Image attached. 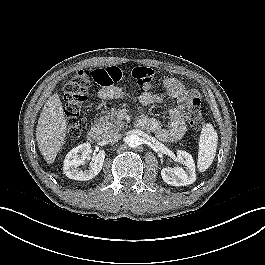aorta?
<instances>
[{"label": "aorta", "instance_id": "obj_1", "mask_svg": "<svg viewBox=\"0 0 265 265\" xmlns=\"http://www.w3.org/2000/svg\"><path fill=\"white\" fill-rule=\"evenodd\" d=\"M127 144L131 148H136L140 145V137L136 134H132L127 137Z\"/></svg>", "mask_w": 265, "mask_h": 265}]
</instances>
